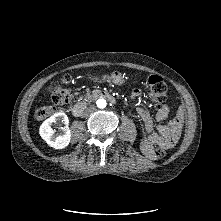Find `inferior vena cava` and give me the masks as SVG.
Listing matches in <instances>:
<instances>
[{"mask_svg": "<svg viewBox=\"0 0 221 221\" xmlns=\"http://www.w3.org/2000/svg\"><path fill=\"white\" fill-rule=\"evenodd\" d=\"M94 111H95V107H94V106H89V107H87V108L85 109L84 115H89V114H91V113L94 112Z\"/></svg>", "mask_w": 221, "mask_h": 221, "instance_id": "inferior-vena-cava-1", "label": "inferior vena cava"}]
</instances>
